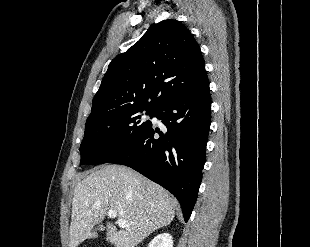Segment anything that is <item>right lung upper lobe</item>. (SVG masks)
<instances>
[{"mask_svg":"<svg viewBox=\"0 0 310 247\" xmlns=\"http://www.w3.org/2000/svg\"><path fill=\"white\" fill-rule=\"evenodd\" d=\"M207 80L205 62L191 32L177 20H163L130 51L111 61L87 121L131 108L157 110Z\"/></svg>","mask_w":310,"mask_h":247,"instance_id":"right-lung-upper-lobe-1","label":"right lung upper lobe"}]
</instances>
